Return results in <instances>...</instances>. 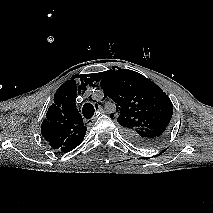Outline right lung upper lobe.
<instances>
[{"label": "right lung upper lobe", "mask_w": 213, "mask_h": 213, "mask_svg": "<svg viewBox=\"0 0 213 213\" xmlns=\"http://www.w3.org/2000/svg\"><path fill=\"white\" fill-rule=\"evenodd\" d=\"M82 88L78 87V91ZM76 94L74 79L62 84L41 125V134L53 149L69 152L83 141L86 127L76 107Z\"/></svg>", "instance_id": "1"}]
</instances>
